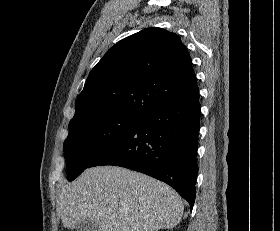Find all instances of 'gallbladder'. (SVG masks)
Segmentation results:
<instances>
[{
    "label": "gallbladder",
    "mask_w": 280,
    "mask_h": 231,
    "mask_svg": "<svg viewBox=\"0 0 280 231\" xmlns=\"http://www.w3.org/2000/svg\"><path fill=\"white\" fill-rule=\"evenodd\" d=\"M76 229L77 231H99V223L91 221V219H84V221H78Z\"/></svg>",
    "instance_id": "gallbladder-1"
}]
</instances>
